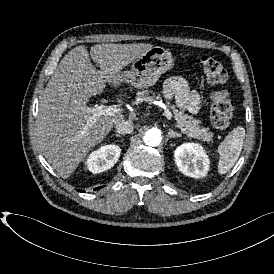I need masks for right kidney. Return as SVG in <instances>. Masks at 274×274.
I'll return each instance as SVG.
<instances>
[{"label":"right kidney","mask_w":274,"mask_h":274,"mask_svg":"<svg viewBox=\"0 0 274 274\" xmlns=\"http://www.w3.org/2000/svg\"><path fill=\"white\" fill-rule=\"evenodd\" d=\"M120 153L121 149L118 145H103L89 154L85 166L93 174L104 172L116 164Z\"/></svg>","instance_id":"ca27d5eb"}]
</instances>
